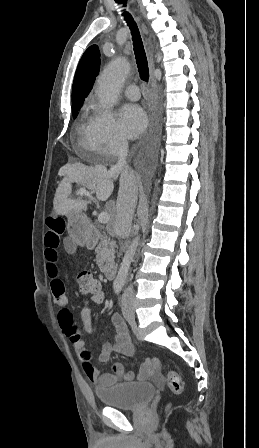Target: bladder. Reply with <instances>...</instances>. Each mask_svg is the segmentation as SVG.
<instances>
[{
    "mask_svg": "<svg viewBox=\"0 0 259 448\" xmlns=\"http://www.w3.org/2000/svg\"><path fill=\"white\" fill-rule=\"evenodd\" d=\"M154 393L155 387L151 383H120L95 390L100 403L122 410H136L145 406Z\"/></svg>",
    "mask_w": 259,
    "mask_h": 448,
    "instance_id": "1",
    "label": "bladder"
}]
</instances>
